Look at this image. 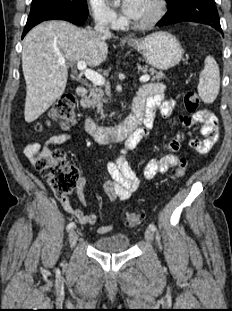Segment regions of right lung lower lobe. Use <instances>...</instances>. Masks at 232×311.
Listing matches in <instances>:
<instances>
[{
  "label": "right lung lower lobe",
  "instance_id": "right-lung-lower-lobe-1",
  "mask_svg": "<svg viewBox=\"0 0 232 311\" xmlns=\"http://www.w3.org/2000/svg\"><path fill=\"white\" fill-rule=\"evenodd\" d=\"M53 19L66 20L76 25H80L87 19V15L82 14L75 9L62 6H46L33 9L30 11L22 38L38 23Z\"/></svg>",
  "mask_w": 232,
  "mask_h": 311
}]
</instances>
